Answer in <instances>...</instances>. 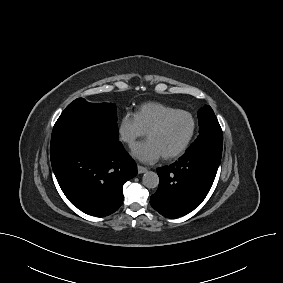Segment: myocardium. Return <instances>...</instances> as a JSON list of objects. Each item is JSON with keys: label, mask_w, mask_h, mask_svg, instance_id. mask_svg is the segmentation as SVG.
I'll list each match as a JSON object with an SVG mask.
<instances>
[{"label": "myocardium", "mask_w": 283, "mask_h": 283, "mask_svg": "<svg viewBox=\"0 0 283 283\" xmlns=\"http://www.w3.org/2000/svg\"><path fill=\"white\" fill-rule=\"evenodd\" d=\"M187 116L190 121H191V131L189 133V136L187 137V139L185 140V142L181 145L180 148H178L176 151L170 153V154H165L163 155V158L166 160H172L175 158L180 157L182 154L185 153V151L188 149L189 145L191 144L195 132H196V121L195 118L193 117V115L187 111H183V110H177L174 112H171L167 115H165L158 123H156L148 132H147V136L149 137L150 135H152L153 133H156L160 130H162L165 125L174 117L176 116Z\"/></svg>", "instance_id": "obj_1"}]
</instances>
